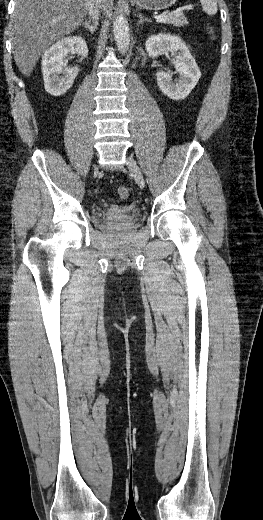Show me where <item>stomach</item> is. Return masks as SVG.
<instances>
[{"mask_svg":"<svg viewBox=\"0 0 263 520\" xmlns=\"http://www.w3.org/2000/svg\"><path fill=\"white\" fill-rule=\"evenodd\" d=\"M177 0H131V3L148 10H163L171 7Z\"/></svg>","mask_w":263,"mask_h":520,"instance_id":"obj_1","label":"stomach"}]
</instances>
